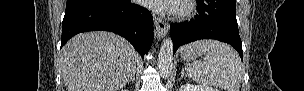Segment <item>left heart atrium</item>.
Here are the masks:
<instances>
[{
  "label": "left heart atrium",
  "instance_id": "left-heart-atrium-1",
  "mask_svg": "<svg viewBox=\"0 0 304 91\" xmlns=\"http://www.w3.org/2000/svg\"><path fill=\"white\" fill-rule=\"evenodd\" d=\"M178 2L177 0H146L145 5L158 11L175 12Z\"/></svg>",
  "mask_w": 304,
  "mask_h": 91
}]
</instances>
